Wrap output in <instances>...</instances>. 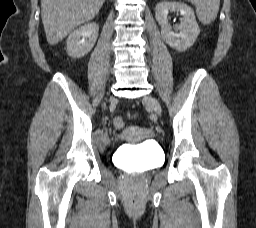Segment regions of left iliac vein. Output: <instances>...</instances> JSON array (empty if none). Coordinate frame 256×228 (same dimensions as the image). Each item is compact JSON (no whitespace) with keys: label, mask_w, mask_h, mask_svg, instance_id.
<instances>
[{"label":"left iliac vein","mask_w":256,"mask_h":228,"mask_svg":"<svg viewBox=\"0 0 256 228\" xmlns=\"http://www.w3.org/2000/svg\"><path fill=\"white\" fill-rule=\"evenodd\" d=\"M144 103L150 107L156 114L161 115L162 109L157 99L152 96H146L143 99Z\"/></svg>","instance_id":"4c4485c4"}]
</instances>
